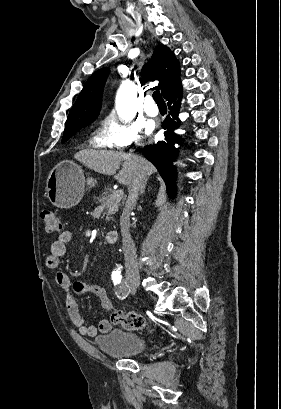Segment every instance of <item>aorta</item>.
Masks as SVG:
<instances>
[{
    "mask_svg": "<svg viewBox=\"0 0 281 409\" xmlns=\"http://www.w3.org/2000/svg\"><path fill=\"white\" fill-rule=\"evenodd\" d=\"M135 98L133 93V86L126 82L122 85L117 102L116 109L120 116L125 119H130L134 113Z\"/></svg>",
    "mask_w": 281,
    "mask_h": 409,
    "instance_id": "aorta-1",
    "label": "aorta"
}]
</instances>
